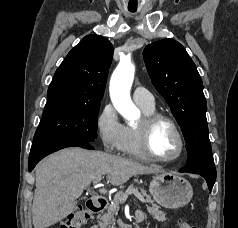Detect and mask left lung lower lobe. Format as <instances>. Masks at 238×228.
<instances>
[{"label":"left lung lower lobe","mask_w":238,"mask_h":228,"mask_svg":"<svg viewBox=\"0 0 238 228\" xmlns=\"http://www.w3.org/2000/svg\"><path fill=\"white\" fill-rule=\"evenodd\" d=\"M179 172H189V171L182 168V169L179 170ZM189 173H196V174L201 175L207 181L209 191L212 190V187H213V185L215 183V180H216V176H212V175H209V174H206V173H203V172H198V171H192V172H189Z\"/></svg>","instance_id":"1"}]
</instances>
